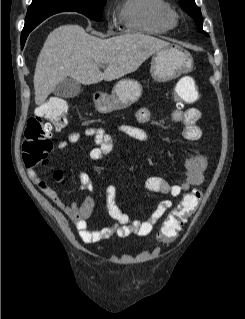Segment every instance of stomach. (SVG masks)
I'll return each instance as SVG.
<instances>
[{
	"label": "stomach",
	"instance_id": "stomach-1",
	"mask_svg": "<svg viewBox=\"0 0 245 319\" xmlns=\"http://www.w3.org/2000/svg\"><path fill=\"white\" fill-rule=\"evenodd\" d=\"M150 64V73L154 80L165 82L189 72L193 59L181 47L169 44L153 54ZM141 94L142 86L138 81L123 79L115 84L110 95L103 94L95 99V108L100 113H111L131 106L138 101Z\"/></svg>",
	"mask_w": 245,
	"mask_h": 319
}]
</instances>
